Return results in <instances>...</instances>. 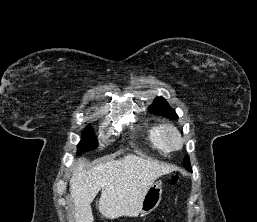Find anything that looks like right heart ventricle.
Here are the masks:
<instances>
[{
	"label": "right heart ventricle",
	"instance_id": "1",
	"mask_svg": "<svg viewBox=\"0 0 257 222\" xmlns=\"http://www.w3.org/2000/svg\"><path fill=\"white\" fill-rule=\"evenodd\" d=\"M162 125L157 122H148L143 129V135L147 143L160 153H166L167 147L161 137Z\"/></svg>",
	"mask_w": 257,
	"mask_h": 222
}]
</instances>
